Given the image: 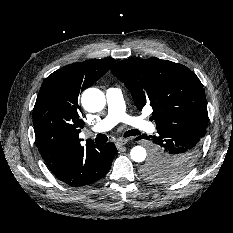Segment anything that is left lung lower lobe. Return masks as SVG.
I'll list each match as a JSON object with an SVG mask.
<instances>
[{
	"label": "left lung lower lobe",
	"mask_w": 233,
	"mask_h": 233,
	"mask_svg": "<svg viewBox=\"0 0 233 233\" xmlns=\"http://www.w3.org/2000/svg\"><path fill=\"white\" fill-rule=\"evenodd\" d=\"M203 137L204 135L196 129L172 128L157 130L154 136L143 134L138 138L149 139L154 143L151 160L161 161L163 166L169 168L162 172L180 177L177 171L191 168L195 164Z\"/></svg>",
	"instance_id": "left-lung-lower-lobe-1"
}]
</instances>
